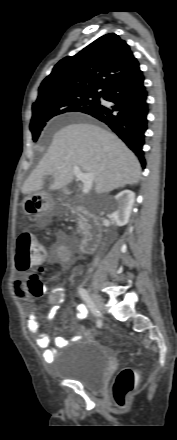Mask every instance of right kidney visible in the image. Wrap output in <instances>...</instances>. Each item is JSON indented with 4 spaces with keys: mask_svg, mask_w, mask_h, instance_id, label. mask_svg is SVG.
I'll return each instance as SVG.
<instances>
[{
    "mask_svg": "<svg viewBox=\"0 0 177 440\" xmlns=\"http://www.w3.org/2000/svg\"><path fill=\"white\" fill-rule=\"evenodd\" d=\"M134 201L135 193L131 190H123L114 197L111 217L116 225L124 226L128 223Z\"/></svg>",
    "mask_w": 177,
    "mask_h": 440,
    "instance_id": "ca27d5eb",
    "label": "right kidney"
}]
</instances>
